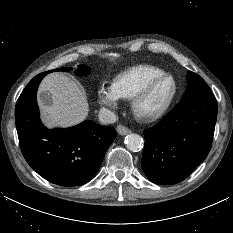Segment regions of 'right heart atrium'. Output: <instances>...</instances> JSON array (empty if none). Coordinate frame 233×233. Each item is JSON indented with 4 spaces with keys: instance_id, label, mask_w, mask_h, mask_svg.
<instances>
[{
    "instance_id": "right-heart-atrium-1",
    "label": "right heart atrium",
    "mask_w": 233,
    "mask_h": 233,
    "mask_svg": "<svg viewBox=\"0 0 233 233\" xmlns=\"http://www.w3.org/2000/svg\"><path fill=\"white\" fill-rule=\"evenodd\" d=\"M97 98L101 105L116 110L120 103V96L113 85L101 84L97 90Z\"/></svg>"
}]
</instances>
